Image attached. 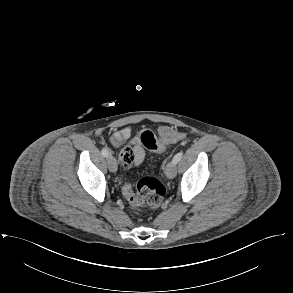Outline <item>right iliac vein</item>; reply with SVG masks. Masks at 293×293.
<instances>
[{
    "mask_svg": "<svg viewBox=\"0 0 293 293\" xmlns=\"http://www.w3.org/2000/svg\"><path fill=\"white\" fill-rule=\"evenodd\" d=\"M107 163H108V168L112 173L117 171V161L114 156L112 155L108 156Z\"/></svg>",
    "mask_w": 293,
    "mask_h": 293,
    "instance_id": "1",
    "label": "right iliac vein"
}]
</instances>
